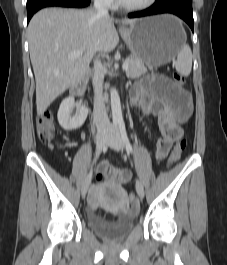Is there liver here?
<instances>
[{
	"label": "liver",
	"mask_w": 227,
	"mask_h": 265,
	"mask_svg": "<svg viewBox=\"0 0 227 265\" xmlns=\"http://www.w3.org/2000/svg\"><path fill=\"white\" fill-rule=\"evenodd\" d=\"M136 21L123 19L122 23L132 25ZM28 37L37 115H42L59 95L84 78L96 53H109L119 42L114 19L100 16L93 9H43L32 17ZM74 51L83 54L69 59Z\"/></svg>",
	"instance_id": "6515ba94"
}]
</instances>
